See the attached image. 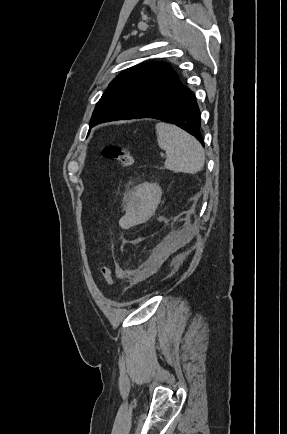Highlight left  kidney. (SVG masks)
<instances>
[{
	"mask_svg": "<svg viewBox=\"0 0 287 434\" xmlns=\"http://www.w3.org/2000/svg\"><path fill=\"white\" fill-rule=\"evenodd\" d=\"M162 190L157 183H143L136 186L127 197L128 215L151 216L160 202Z\"/></svg>",
	"mask_w": 287,
	"mask_h": 434,
	"instance_id": "5707ae66",
	"label": "left kidney"
}]
</instances>
